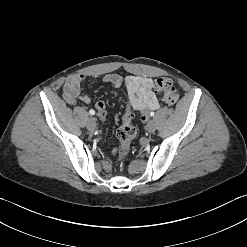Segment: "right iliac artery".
<instances>
[{
    "label": "right iliac artery",
    "instance_id": "obj_1",
    "mask_svg": "<svg viewBox=\"0 0 247 247\" xmlns=\"http://www.w3.org/2000/svg\"><path fill=\"white\" fill-rule=\"evenodd\" d=\"M89 113H90V115H94V114H95V111H94L93 109H91V110L89 111Z\"/></svg>",
    "mask_w": 247,
    "mask_h": 247
}]
</instances>
